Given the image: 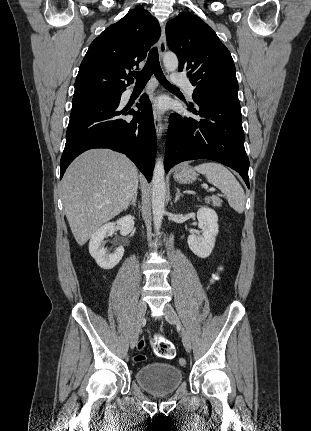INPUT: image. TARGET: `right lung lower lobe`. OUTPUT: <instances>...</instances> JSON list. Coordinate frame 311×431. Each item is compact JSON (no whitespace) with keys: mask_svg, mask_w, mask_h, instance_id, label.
<instances>
[{"mask_svg":"<svg viewBox=\"0 0 311 431\" xmlns=\"http://www.w3.org/2000/svg\"><path fill=\"white\" fill-rule=\"evenodd\" d=\"M120 101L93 100L73 104L66 132V145L60 161V178L69 164L91 148H109L124 153L150 182L156 154V133L148 96L144 94L136 106L142 112L125 107ZM134 115L131 121L121 115Z\"/></svg>","mask_w":311,"mask_h":431,"instance_id":"98d812e1","label":"right lung lower lobe"}]
</instances>
